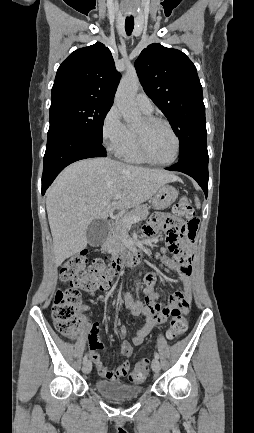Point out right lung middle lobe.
<instances>
[{
    "mask_svg": "<svg viewBox=\"0 0 254 433\" xmlns=\"http://www.w3.org/2000/svg\"><path fill=\"white\" fill-rule=\"evenodd\" d=\"M112 105L89 100H66L50 106V126L61 124L102 143L106 114Z\"/></svg>",
    "mask_w": 254,
    "mask_h": 433,
    "instance_id": "1",
    "label": "right lung middle lobe"
}]
</instances>
